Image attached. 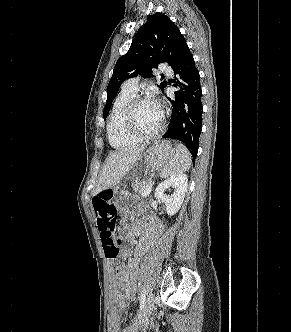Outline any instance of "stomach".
Returning a JSON list of instances; mask_svg holds the SVG:
<instances>
[{"instance_id": "0dacf381", "label": "stomach", "mask_w": 291, "mask_h": 332, "mask_svg": "<svg viewBox=\"0 0 291 332\" xmlns=\"http://www.w3.org/2000/svg\"><path fill=\"white\" fill-rule=\"evenodd\" d=\"M177 154V149L167 141H156L149 148L144 149L136 164L137 167H145L150 170H160L166 166ZM114 205L119 212L124 211L132 199L125 190H114Z\"/></svg>"}]
</instances>
